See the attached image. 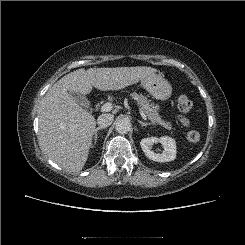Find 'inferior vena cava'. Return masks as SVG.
Here are the masks:
<instances>
[{
	"mask_svg": "<svg viewBox=\"0 0 245 245\" xmlns=\"http://www.w3.org/2000/svg\"><path fill=\"white\" fill-rule=\"evenodd\" d=\"M114 120V115L112 114H102L97 119V124L99 127L106 128L112 124Z\"/></svg>",
	"mask_w": 245,
	"mask_h": 245,
	"instance_id": "602c4592",
	"label": "inferior vena cava"
}]
</instances>
